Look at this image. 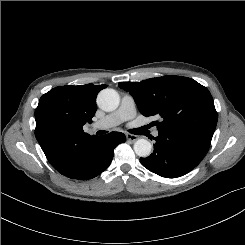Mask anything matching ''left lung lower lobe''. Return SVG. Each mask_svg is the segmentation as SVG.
Returning a JSON list of instances; mask_svg holds the SVG:
<instances>
[{
	"label": "left lung lower lobe",
	"instance_id": "obj_1",
	"mask_svg": "<svg viewBox=\"0 0 245 245\" xmlns=\"http://www.w3.org/2000/svg\"><path fill=\"white\" fill-rule=\"evenodd\" d=\"M212 136L189 129L158 130L153 153L140 158L149 171L166 178L189 173L204 158Z\"/></svg>",
	"mask_w": 245,
	"mask_h": 245
}]
</instances>
